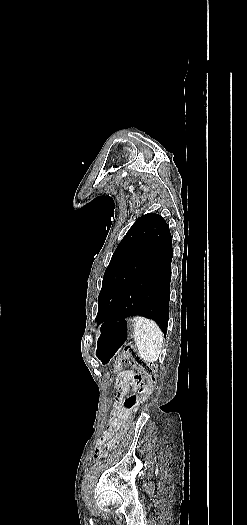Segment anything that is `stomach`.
I'll use <instances>...</instances> for the list:
<instances>
[{"label":"stomach","mask_w":247,"mask_h":525,"mask_svg":"<svg viewBox=\"0 0 247 525\" xmlns=\"http://www.w3.org/2000/svg\"><path fill=\"white\" fill-rule=\"evenodd\" d=\"M134 336V321L120 320L102 324L97 330L95 354L101 365H108L122 346Z\"/></svg>","instance_id":"0dacf381"}]
</instances>
